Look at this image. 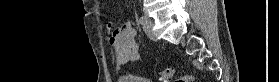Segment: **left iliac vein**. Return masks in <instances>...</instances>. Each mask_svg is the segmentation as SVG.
<instances>
[{
	"instance_id": "left-iliac-vein-1",
	"label": "left iliac vein",
	"mask_w": 279,
	"mask_h": 82,
	"mask_svg": "<svg viewBox=\"0 0 279 82\" xmlns=\"http://www.w3.org/2000/svg\"><path fill=\"white\" fill-rule=\"evenodd\" d=\"M143 27H144V31H145L146 35L150 39H156V34L153 30L154 22L152 20H149L148 18H146V21L143 22Z\"/></svg>"
}]
</instances>
